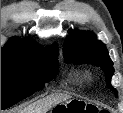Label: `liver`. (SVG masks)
<instances>
[{"label": "liver", "instance_id": "1", "mask_svg": "<svg viewBox=\"0 0 123 113\" xmlns=\"http://www.w3.org/2000/svg\"><path fill=\"white\" fill-rule=\"evenodd\" d=\"M66 99L67 97L64 96H51L41 101H38L37 103L31 105L30 107L22 110L21 113H46L53 106L61 103Z\"/></svg>", "mask_w": 123, "mask_h": 113}]
</instances>
